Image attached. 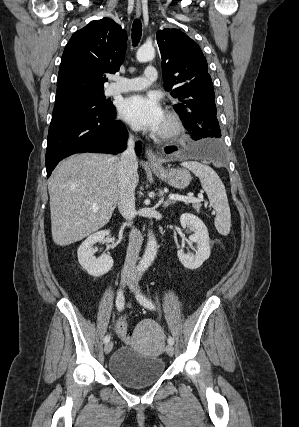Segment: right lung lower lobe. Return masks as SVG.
Here are the masks:
<instances>
[{
  "label": "right lung lower lobe",
  "instance_id": "98d812e1",
  "mask_svg": "<svg viewBox=\"0 0 299 427\" xmlns=\"http://www.w3.org/2000/svg\"><path fill=\"white\" fill-rule=\"evenodd\" d=\"M113 113L73 110L53 116L47 141L46 170L47 177L55 166L75 153L117 154L126 148L127 129L121 121L115 120ZM141 143H136L137 154Z\"/></svg>",
  "mask_w": 299,
  "mask_h": 427
}]
</instances>
